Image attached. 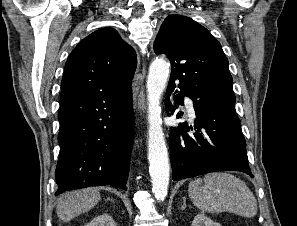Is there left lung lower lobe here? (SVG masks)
Here are the masks:
<instances>
[{
    "label": "left lung lower lobe",
    "instance_id": "1",
    "mask_svg": "<svg viewBox=\"0 0 297 226\" xmlns=\"http://www.w3.org/2000/svg\"><path fill=\"white\" fill-rule=\"evenodd\" d=\"M175 83L169 81L166 107L173 111L183 105V96L192 99L196 114L195 125L179 123L170 133V153L173 180L221 170H235L253 177L246 151L241 123L235 111V101L224 99L201 100L177 86L175 105L169 102ZM176 90L175 93H177ZM170 115V114H168ZM180 116L177 115V118ZM189 129L194 133H187Z\"/></svg>",
    "mask_w": 297,
    "mask_h": 226
}]
</instances>
